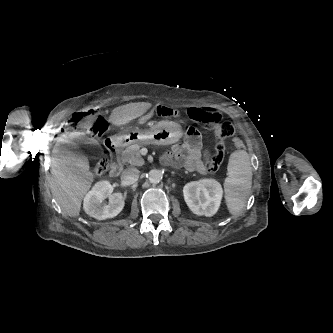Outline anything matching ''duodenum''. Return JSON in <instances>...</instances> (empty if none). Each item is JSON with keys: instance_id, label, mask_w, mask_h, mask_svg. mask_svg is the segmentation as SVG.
Instances as JSON below:
<instances>
[{"instance_id": "1", "label": "duodenum", "mask_w": 333, "mask_h": 333, "mask_svg": "<svg viewBox=\"0 0 333 333\" xmlns=\"http://www.w3.org/2000/svg\"><path fill=\"white\" fill-rule=\"evenodd\" d=\"M107 148L111 159L109 174L112 177H116L122 171V164L119 159L121 143L117 141H109L107 143Z\"/></svg>"}]
</instances>
